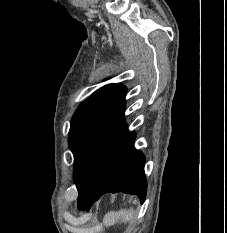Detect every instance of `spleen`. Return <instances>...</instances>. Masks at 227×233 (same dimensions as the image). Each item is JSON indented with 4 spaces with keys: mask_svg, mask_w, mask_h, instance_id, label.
<instances>
[{
    "mask_svg": "<svg viewBox=\"0 0 227 233\" xmlns=\"http://www.w3.org/2000/svg\"><path fill=\"white\" fill-rule=\"evenodd\" d=\"M134 213L135 211L133 208H130L128 210L121 209L117 212L111 211L105 215L103 222L105 226L115 225L119 221L126 224L134 220Z\"/></svg>",
    "mask_w": 227,
    "mask_h": 233,
    "instance_id": "obj_1",
    "label": "spleen"
}]
</instances>
